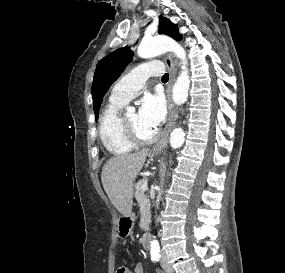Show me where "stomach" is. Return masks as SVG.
Wrapping results in <instances>:
<instances>
[{
  "mask_svg": "<svg viewBox=\"0 0 285 273\" xmlns=\"http://www.w3.org/2000/svg\"><path fill=\"white\" fill-rule=\"evenodd\" d=\"M134 225V215L132 214L129 217H124L119 224V233L121 236H127L130 234Z\"/></svg>",
  "mask_w": 285,
  "mask_h": 273,
  "instance_id": "stomach-1",
  "label": "stomach"
}]
</instances>
